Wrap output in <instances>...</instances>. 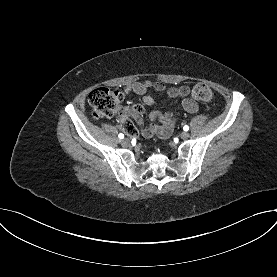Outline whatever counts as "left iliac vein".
<instances>
[{"label": "left iliac vein", "mask_w": 277, "mask_h": 277, "mask_svg": "<svg viewBox=\"0 0 277 277\" xmlns=\"http://www.w3.org/2000/svg\"><path fill=\"white\" fill-rule=\"evenodd\" d=\"M180 137L182 138V139H188L189 138V133L188 132H186V131H183L181 134H180Z\"/></svg>", "instance_id": "obj_1"}]
</instances>
